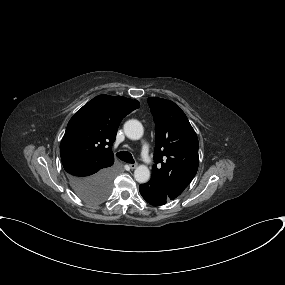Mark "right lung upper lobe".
Wrapping results in <instances>:
<instances>
[{"label":"right lung upper lobe","mask_w":285,"mask_h":285,"mask_svg":"<svg viewBox=\"0 0 285 285\" xmlns=\"http://www.w3.org/2000/svg\"><path fill=\"white\" fill-rule=\"evenodd\" d=\"M139 108L137 100L99 95L70 119L60 144L66 172L83 167L101 169L114 163L111 146L121 120Z\"/></svg>","instance_id":"obj_1"}]
</instances>
